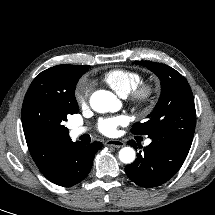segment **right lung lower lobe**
<instances>
[{"label":"right lung lower lobe","mask_w":215,"mask_h":215,"mask_svg":"<svg viewBox=\"0 0 215 215\" xmlns=\"http://www.w3.org/2000/svg\"><path fill=\"white\" fill-rule=\"evenodd\" d=\"M100 148H102L101 142L86 144L70 141L60 152L54 173L46 178L63 187L79 183L90 172L95 153Z\"/></svg>","instance_id":"98d812e1"}]
</instances>
